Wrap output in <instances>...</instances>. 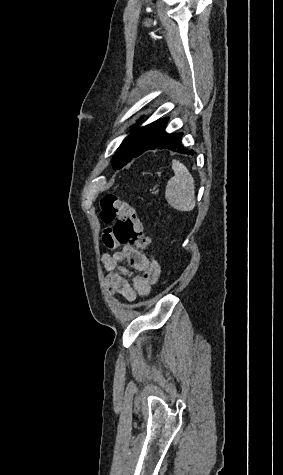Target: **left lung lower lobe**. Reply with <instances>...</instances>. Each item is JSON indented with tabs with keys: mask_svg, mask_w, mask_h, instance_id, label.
Listing matches in <instances>:
<instances>
[{
	"mask_svg": "<svg viewBox=\"0 0 283 475\" xmlns=\"http://www.w3.org/2000/svg\"><path fill=\"white\" fill-rule=\"evenodd\" d=\"M167 122L168 118L152 122L144 126L138 135L130 134L125 138L113 157L114 169H120L133 158L154 149H168L193 155L194 151L186 149L182 144L183 133L168 134L165 132Z\"/></svg>",
	"mask_w": 283,
	"mask_h": 475,
	"instance_id": "left-lung-lower-lobe-1",
	"label": "left lung lower lobe"
}]
</instances>
